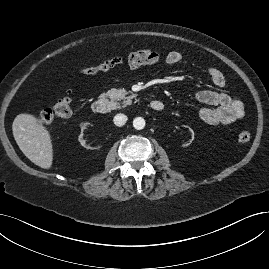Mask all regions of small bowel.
Listing matches in <instances>:
<instances>
[{
	"instance_id": "c3829d8e",
	"label": "small bowel",
	"mask_w": 269,
	"mask_h": 269,
	"mask_svg": "<svg viewBox=\"0 0 269 269\" xmlns=\"http://www.w3.org/2000/svg\"><path fill=\"white\" fill-rule=\"evenodd\" d=\"M161 60L162 55L158 51L146 48L129 52L125 56L105 59L97 65L79 69L78 73L91 76L108 73L111 69L119 66L138 69L155 65ZM165 61L169 65H176L182 61V55L178 51H171L165 56ZM208 75L215 86L223 87L225 85V76L219 69L209 68ZM195 99L205 105L199 111V118L208 125H230L245 115L244 103L224 92L201 90L195 94Z\"/></svg>"
}]
</instances>
